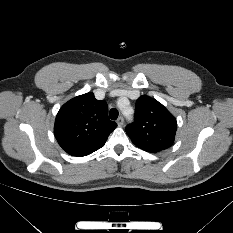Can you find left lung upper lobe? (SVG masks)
<instances>
[{"instance_id":"5c2ea615","label":"left lung upper lobe","mask_w":233,"mask_h":233,"mask_svg":"<svg viewBox=\"0 0 233 233\" xmlns=\"http://www.w3.org/2000/svg\"><path fill=\"white\" fill-rule=\"evenodd\" d=\"M176 129V119L161 103L141 96L136 101L135 121L126 132L137 147L156 153L172 145Z\"/></svg>"}]
</instances>
